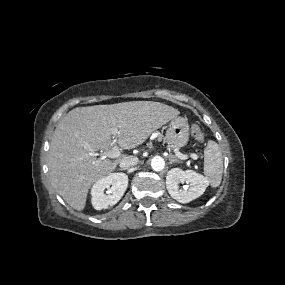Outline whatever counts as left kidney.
Returning a JSON list of instances; mask_svg holds the SVG:
<instances>
[{
    "mask_svg": "<svg viewBox=\"0 0 285 285\" xmlns=\"http://www.w3.org/2000/svg\"><path fill=\"white\" fill-rule=\"evenodd\" d=\"M189 184V189H180L179 183ZM208 186L202 175L192 170L171 169L166 176V187L170 196L180 203H189L201 196Z\"/></svg>",
    "mask_w": 285,
    "mask_h": 285,
    "instance_id": "obj_1",
    "label": "left kidney"
}]
</instances>
